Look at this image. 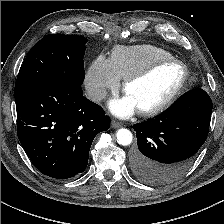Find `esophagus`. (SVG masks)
Here are the masks:
<instances>
[{
    "mask_svg": "<svg viewBox=\"0 0 224 224\" xmlns=\"http://www.w3.org/2000/svg\"><path fill=\"white\" fill-rule=\"evenodd\" d=\"M121 126H122V124L120 122L116 121V120H113L111 122V127L112 128H118V127H121Z\"/></svg>",
    "mask_w": 224,
    "mask_h": 224,
    "instance_id": "34e87169",
    "label": "esophagus"
}]
</instances>
